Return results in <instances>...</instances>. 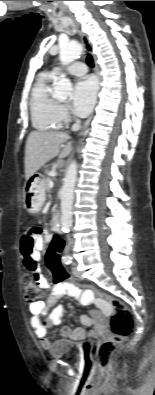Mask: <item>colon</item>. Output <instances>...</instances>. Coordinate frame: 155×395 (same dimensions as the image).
Wrapping results in <instances>:
<instances>
[{
  "label": "colon",
  "instance_id": "1",
  "mask_svg": "<svg viewBox=\"0 0 155 395\" xmlns=\"http://www.w3.org/2000/svg\"><path fill=\"white\" fill-rule=\"evenodd\" d=\"M51 239L52 244H48L43 256V261L46 262L50 272V278H55V284L60 286V288H62L63 283H77V280L72 278L71 272L63 271V265H60L59 261V252L64 250L66 238H60L59 234H52ZM28 262L30 263L31 261L28 260ZM23 286L25 299L28 303L40 301L43 296L42 288L30 272L24 276ZM83 286H86V283H83ZM90 290H93V287H90ZM94 292H97V289H94ZM98 294L103 300H108L109 304H113V313L110 315L111 336L100 341L94 352L97 365L101 369H105L111 364L118 347L131 333L134 318L129 308L122 301L101 294V291H98Z\"/></svg>",
  "mask_w": 155,
  "mask_h": 395
}]
</instances>
